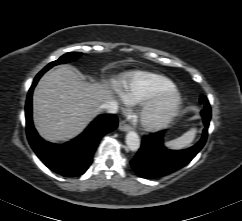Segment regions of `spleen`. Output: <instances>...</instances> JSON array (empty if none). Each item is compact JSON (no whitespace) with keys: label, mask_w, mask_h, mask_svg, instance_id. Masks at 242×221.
<instances>
[{"label":"spleen","mask_w":242,"mask_h":221,"mask_svg":"<svg viewBox=\"0 0 242 221\" xmlns=\"http://www.w3.org/2000/svg\"><path fill=\"white\" fill-rule=\"evenodd\" d=\"M196 129L192 128L189 131H187L186 133H184L182 136L171 140V141H167L165 143V145L169 148V149H174V150H179V149H183L185 147H187L190 143L193 142L195 135H196Z\"/></svg>","instance_id":"obj_1"}]
</instances>
